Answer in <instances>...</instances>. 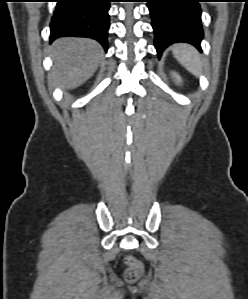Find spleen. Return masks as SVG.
<instances>
[{
    "mask_svg": "<svg viewBox=\"0 0 248 299\" xmlns=\"http://www.w3.org/2000/svg\"><path fill=\"white\" fill-rule=\"evenodd\" d=\"M174 57L193 75L202 72V61L198 51L189 44L179 43L172 47Z\"/></svg>",
    "mask_w": 248,
    "mask_h": 299,
    "instance_id": "3e777b00",
    "label": "spleen"
}]
</instances>
